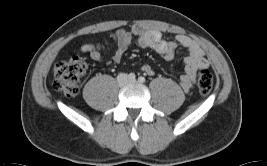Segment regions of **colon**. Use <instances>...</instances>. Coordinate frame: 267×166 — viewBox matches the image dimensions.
<instances>
[{
  "label": "colon",
  "instance_id": "5ec220e1",
  "mask_svg": "<svg viewBox=\"0 0 267 166\" xmlns=\"http://www.w3.org/2000/svg\"><path fill=\"white\" fill-rule=\"evenodd\" d=\"M86 62L81 57H73L58 63L54 68L53 88L66 96H75L79 91L81 79L86 71ZM213 87L212 74L201 69L198 74V89L202 96H207Z\"/></svg>",
  "mask_w": 267,
  "mask_h": 166
}]
</instances>
